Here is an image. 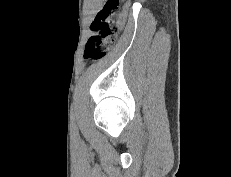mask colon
<instances>
[{
    "mask_svg": "<svg viewBox=\"0 0 231 177\" xmlns=\"http://www.w3.org/2000/svg\"><path fill=\"white\" fill-rule=\"evenodd\" d=\"M120 0H106L91 23L93 34L89 37L84 57L86 60H100L113 47L117 39L114 18L119 10ZM122 17L119 21H122Z\"/></svg>",
    "mask_w": 231,
    "mask_h": 177,
    "instance_id": "5ec220e1",
    "label": "colon"
}]
</instances>
